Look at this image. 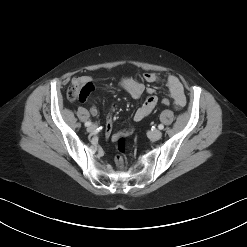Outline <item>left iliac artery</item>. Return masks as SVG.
Returning <instances> with one entry per match:
<instances>
[{
  "label": "left iliac artery",
  "instance_id": "1",
  "mask_svg": "<svg viewBox=\"0 0 247 247\" xmlns=\"http://www.w3.org/2000/svg\"><path fill=\"white\" fill-rule=\"evenodd\" d=\"M158 128H159L160 130H162V129L164 128V126H163L162 124H160V125L158 126Z\"/></svg>",
  "mask_w": 247,
  "mask_h": 247
}]
</instances>
